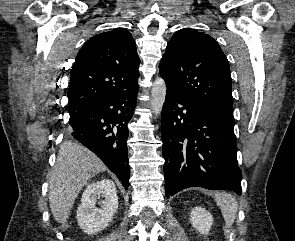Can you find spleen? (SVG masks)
<instances>
[{
    "instance_id": "obj_1",
    "label": "spleen",
    "mask_w": 295,
    "mask_h": 241,
    "mask_svg": "<svg viewBox=\"0 0 295 241\" xmlns=\"http://www.w3.org/2000/svg\"><path fill=\"white\" fill-rule=\"evenodd\" d=\"M214 199L221 210L226 227L230 228L237 213L238 204L236 199L232 195L225 192H215Z\"/></svg>"
}]
</instances>
